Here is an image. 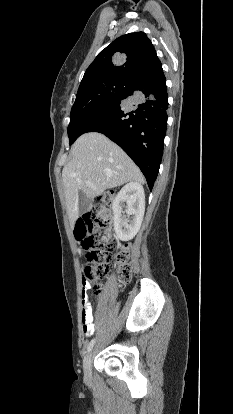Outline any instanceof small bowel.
<instances>
[{"mask_svg":"<svg viewBox=\"0 0 233 414\" xmlns=\"http://www.w3.org/2000/svg\"><path fill=\"white\" fill-rule=\"evenodd\" d=\"M82 278V328L83 333L86 337H90L94 333V323H93V311L90 303V298L87 293L88 289H91V284H89V278L86 277V271H81Z\"/></svg>","mask_w":233,"mask_h":414,"instance_id":"c3829d8e","label":"small bowel"}]
</instances>
